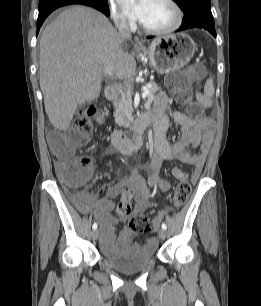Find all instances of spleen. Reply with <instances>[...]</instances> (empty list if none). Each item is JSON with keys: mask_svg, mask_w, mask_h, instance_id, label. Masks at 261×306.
<instances>
[{"mask_svg": "<svg viewBox=\"0 0 261 306\" xmlns=\"http://www.w3.org/2000/svg\"><path fill=\"white\" fill-rule=\"evenodd\" d=\"M204 93L209 97L214 94L213 80L211 78L206 81Z\"/></svg>", "mask_w": 261, "mask_h": 306, "instance_id": "1", "label": "spleen"}]
</instances>
